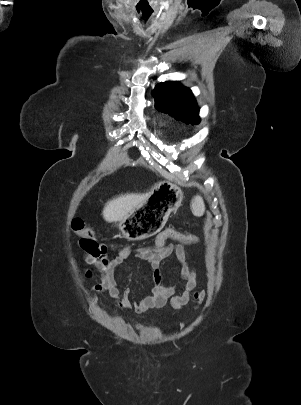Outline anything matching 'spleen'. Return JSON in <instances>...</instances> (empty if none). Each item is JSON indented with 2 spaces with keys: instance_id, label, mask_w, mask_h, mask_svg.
Here are the masks:
<instances>
[{
  "instance_id": "1",
  "label": "spleen",
  "mask_w": 301,
  "mask_h": 405,
  "mask_svg": "<svg viewBox=\"0 0 301 405\" xmlns=\"http://www.w3.org/2000/svg\"><path fill=\"white\" fill-rule=\"evenodd\" d=\"M191 209L195 216H202L205 211V205L201 196H196L192 200Z\"/></svg>"
}]
</instances>
